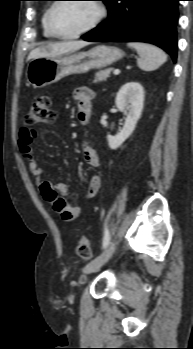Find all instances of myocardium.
Masks as SVG:
<instances>
[{
	"label": "myocardium",
	"instance_id": "f54148a6",
	"mask_svg": "<svg viewBox=\"0 0 193 349\" xmlns=\"http://www.w3.org/2000/svg\"><path fill=\"white\" fill-rule=\"evenodd\" d=\"M90 2H93L94 5L97 8L98 14L96 16V18L94 19V21L87 26L86 28L73 33V34H61L58 33L54 26H53V22H52V17H53V13L55 11V9L57 8V6L61 3H63L61 0L55 1L48 9L47 11V15H46V25L48 28V31L50 32V34L58 39H64V40H70V39H76L79 38L85 34H87L88 32L94 30L106 17L107 14V10L106 7L104 5L103 2H101L100 0H89Z\"/></svg>",
	"mask_w": 193,
	"mask_h": 349
}]
</instances>
